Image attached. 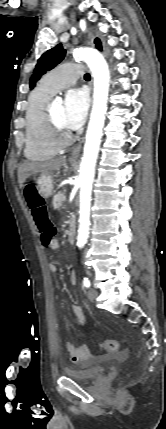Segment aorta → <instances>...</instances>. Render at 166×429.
<instances>
[{
  "label": "aorta",
  "instance_id": "obj_1",
  "mask_svg": "<svg viewBox=\"0 0 166 429\" xmlns=\"http://www.w3.org/2000/svg\"><path fill=\"white\" fill-rule=\"evenodd\" d=\"M73 57L85 61L94 78L93 106L79 174L80 217L77 246L82 248L86 244L89 234L92 184L107 111L110 73L103 55L95 49H75Z\"/></svg>",
  "mask_w": 166,
  "mask_h": 429
}]
</instances>
